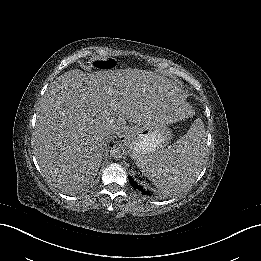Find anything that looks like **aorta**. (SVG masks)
<instances>
[{
    "instance_id": "1",
    "label": "aorta",
    "mask_w": 261,
    "mask_h": 261,
    "mask_svg": "<svg viewBox=\"0 0 261 261\" xmlns=\"http://www.w3.org/2000/svg\"><path fill=\"white\" fill-rule=\"evenodd\" d=\"M124 147L122 144L115 145L113 149L111 150V155L115 159L122 158L124 156Z\"/></svg>"
}]
</instances>
